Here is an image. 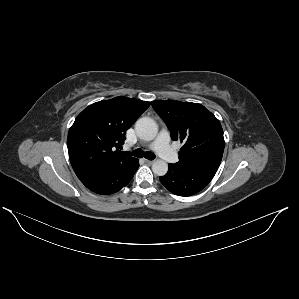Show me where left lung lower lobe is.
I'll use <instances>...</instances> for the list:
<instances>
[{
    "instance_id": "0a47b994",
    "label": "left lung lower lobe",
    "mask_w": 299,
    "mask_h": 299,
    "mask_svg": "<svg viewBox=\"0 0 299 299\" xmlns=\"http://www.w3.org/2000/svg\"><path fill=\"white\" fill-rule=\"evenodd\" d=\"M217 169L209 166L179 167L169 164L167 174L160 177V181L176 195L191 196L201 191L212 180Z\"/></svg>"
}]
</instances>
